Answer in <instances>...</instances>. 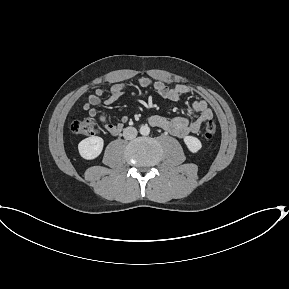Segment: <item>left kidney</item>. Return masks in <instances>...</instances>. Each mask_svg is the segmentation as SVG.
Masks as SVG:
<instances>
[{
	"mask_svg": "<svg viewBox=\"0 0 289 289\" xmlns=\"http://www.w3.org/2000/svg\"><path fill=\"white\" fill-rule=\"evenodd\" d=\"M184 143L186 144L189 151H191L192 153H197L202 148L201 141L194 136L184 137Z\"/></svg>",
	"mask_w": 289,
	"mask_h": 289,
	"instance_id": "left-kidney-1",
	"label": "left kidney"
}]
</instances>
